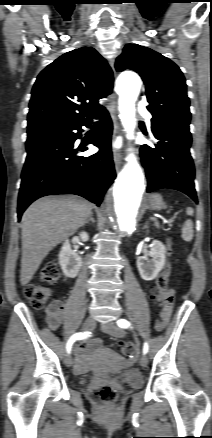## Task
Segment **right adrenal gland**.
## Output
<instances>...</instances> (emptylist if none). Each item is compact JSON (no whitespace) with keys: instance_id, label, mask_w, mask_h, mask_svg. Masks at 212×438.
Here are the masks:
<instances>
[{"instance_id":"2a0ac1e0","label":"right adrenal gland","mask_w":212,"mask_h":438,"mask_svg":"<svg viewBox=\"0 0 212 438\" xmlns=\"http://www.w3.org/2000/svg\"><path fill=\"white\" fill-rule=\"evenodd\" d=\"M95 223V220L93 218V212L90 213L89 218L86 220L85 224H88L89 222Z\"/></svg>"}]
</instances>
